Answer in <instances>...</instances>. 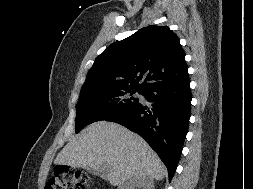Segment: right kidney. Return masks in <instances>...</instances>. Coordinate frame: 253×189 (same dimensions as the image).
Returning <instances> with one entry per match:
<instances>
[{
	"label": "right kidney",
	"instance_id": "ca27d5eb",
	"mask_svg": "<svg viewBox=\"0 0 253 189\" xmlns=\"http://www.w3.org/2000/svg\"><path fill=\"white\" fill-rule=\"evenodd\" d=\"M154 189L153 179L147 176H137L119 186L118 189Z\"/></svg>",
	"mask_w": 253,
	"mask_h": 189
}]
</instances>
